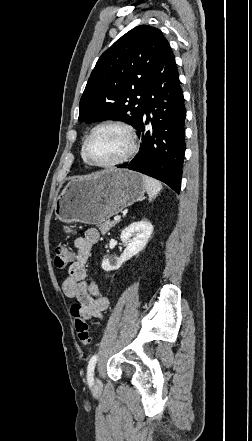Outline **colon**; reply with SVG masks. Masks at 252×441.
I'll list each match as a JSON object with an SVG mask.
<instances>
[{"instance_id":"obj_1","label":"colon","mask_w":252,"mask_h":441,"mask_svg":"<svg viewBox=\"0 0 252 441\" xmlns=\"http://www.w3.org/2000/svg\"><path fill=\"white\" fill-rule=\"evenodd\" d=\"M69 232H72V229L68 227ZM73 259V252L62 243H59L55 247V259L54 264L57 268H64L70 263ZM71 313L74 318L75 329L78 335L80 342L84 345L89 344L90 332H89V324L86 318L83 315L82 307L79 303H74L71 307Z\"/></svg>"}]
</instances>
